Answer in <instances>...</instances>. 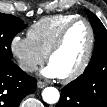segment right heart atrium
Masks as SVG:
<instances>
[{
  "instance_id": "obj_1",
  "label": "right heart atrium",
  "mask_w": 107,
  "mask_h": 107,
  "mask_svg": "<svg viewBox=\"0 0 107 107\" xmlns=\"http://www.w3.org/2000/svg\"><path fill=\"white\" fill-rule=\"evenodd\" d=\"M10 49L19 67L27 73L34 72L46 58L29 37L14 36L10 43Z\"/></svg>"
}]
</instances>
